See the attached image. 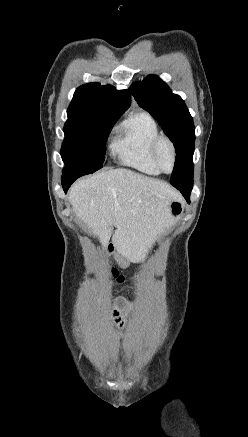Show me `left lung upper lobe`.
Instances as JSON below:
<instances>
[{
  "label": "left lung upper lobe",
  "mask_w": 248,
  "mask_h": 437,
  "mask_svg": "<svg viewBox=\"0 0 248 437\" xmlns=\"http://www.w3.org/2000/svg\"><path fill=\"white\" fill-rule=\"evenodd\" d=\"M129 92L162 125L174 144L177 157L171 184L180 191L192 190L195 127L184 101L154 75L134 83Z\"/></svg>",
  "instance_id": "obj_1"
}]
</instances>
